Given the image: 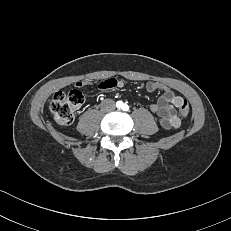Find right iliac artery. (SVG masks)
I'll return each mask as SVG.
<instances>
[{"instance_id": "82829eb1", "label": "right iliac artery", "mask_w": 231, "mask_h": 231, "mask_svg": "<svg viewBox=\"0 0 231 231\" xmlns=\"http://www.w3.org/2000/svg\"><path fill=\"white\" fill-rule=\"evenodd\" d=\"M116 106H117L118 108H121V107H122V102H121V101H118V102L116 103Z\"/></svg>"}]
</instances>
